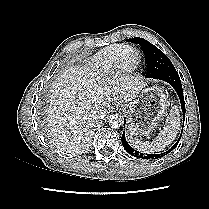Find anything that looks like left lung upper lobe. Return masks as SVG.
I'll return each instance as SVG.
<instances>
[{
    "label": "left lung upper lobe",
    "mask_w": 209,
    "mask_h": 209,
    "mask_svg": "<svg viewBox=\"0 0 209 209\" xmlns=\"http://www.w3.org/2000/svg\"><path fill=\"white\" fill-rule=\"evenodd\" d=\"M127 41L141 45L146 57V78H153L159 73L175 69L169 58L160 49L147 40L135 37L128 39Z\"/></svg>",
    "instance_id": "left-lung-upper-lobe-1"
}]
</instances>
